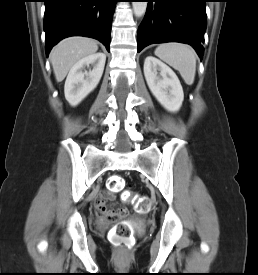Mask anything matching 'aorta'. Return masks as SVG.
Wrapping results in <instances>:
<instances>
[{
  "mask_svg": "<svg viewBox=\"0 0 258 275\" xmlns=\"http://www.w3.org/2000/svg\"><path fill=\"white\" fill-rule=\"evenodd\" d=\"M147 8V2H133V12L138 18L144 16Z\"/></svg>",
  "mask_w": 258,
  "mask_h": 275,
  "instance_id": "1",
  "label": "aorta"
}]
</instances>
